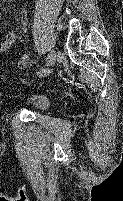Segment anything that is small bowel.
I'll return each instance as SVG.
<instances>
[{"mask_svg":"<svg viewBox=\"0 0 123 201\" xmlns=\"http://www.w3.org/2000/svg\"><path fill=\"white\" fill-rule=\"evenodd\" d=\"M17 34L14 31H10L3 41L0 43V54L4 53L10 45L16 40ZM28 58L26 54H22L20 59L18 61H10L8 65L6 66L7 68H18V69H23L27 66Z\"/></svg>","mask_w":123,"mask_h":201,"instance_id":"1","label":"small bowel"}]
</instances>
